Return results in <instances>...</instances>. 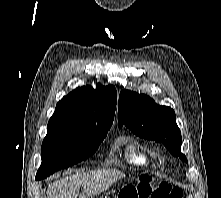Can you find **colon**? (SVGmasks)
Segmentation results:
<instances>
[{
	"label": "colon",
	"instance_id": "5ec220e1",
	"mask_svg": "<svg viewBox=\"0 0 221 198\" xmlns=\"http://www.w3.org/2000/svg\"><path fill=\"white\" fill-rule=\"evenodd\" d=\"M183 192L168 182L154 183L148 175H142L136 183L125 185L117 198H182Z\"/></svg>",
	"mask_w": 221,
	"mask_h": 198
}]
</instances>
